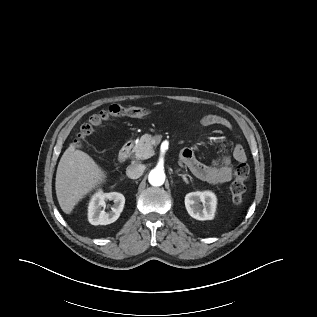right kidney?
<instances>
[{"mask_svg": "<svg viewBox=\"0 0 317 317\" xmlns=\"http://www.w3.org/2000/svg\"><path fill=\"white\" fill-rule=\"evenodd\" d=\"M108 200H113L114 204L109 212H105ZM124 204L125 197L119 192L103 193L101 190L97 191L88 205L89 222L92 225H107L115 222L123 211Z\"/></svg>", "mask_w": 317, "mask_h": 317, "instance_id": "ca27d5eb", "label": "right kidney"}]
</instances>
